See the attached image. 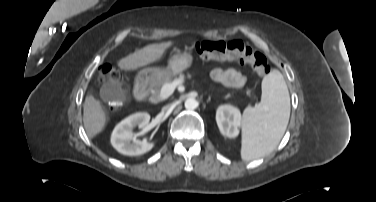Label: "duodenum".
I'll list each match as a JSON object with an SVG mask.
<instances>
[{"label": "duodenum", "mask_w": 376, "mask_h": 202, "mask_svg": "<svg viewBox=\"0 0 376 202\" xmlns=\"http://www.w3.org/2000/svg\"><path fill=\"white\" fill-rule=\"evenodd\" d=\"M149 83L145 77L140 78L134 88V97L137 101H143L148 94Z\"/></svg>", "instance_id": "410a0bca"}]
</instances>
